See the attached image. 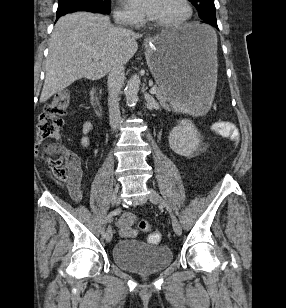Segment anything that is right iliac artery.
Segmentation results:
<instances>
[{
	"instance_id": "obj_1",
	"label": "right iliac artery",
	"mask_w": 286,
	"mask_h": 308,
	"mask_svg": "<svg viewBox=\"0 0 286 308\" xmlns=\"http://www.w3.org/2000/svg\"><path fill=\"white\" fill-rule=\"evenodd\" d=\"M123 208L122 207H118L117 209H115L114 211L110 212L107 217L104 220V227H103V231H102V237L105 238L106 237V232H105V226L107 223L111 222L113 217L116 216L119 212H122Z\"/></svg>"
}]
</instances>
